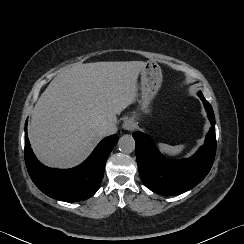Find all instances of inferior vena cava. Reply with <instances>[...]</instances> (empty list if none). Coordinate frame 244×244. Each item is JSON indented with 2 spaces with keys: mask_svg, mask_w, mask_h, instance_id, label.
<instances>
[{
  "mask_svg": "<svg viewBox=\"0 0 244 244\" xmlns=\"http://www.w3.org/2000/svg\"><path fill=\"white\" fill-rule=\"evenodd\" d=\"M116 131H117L116 125L111 121L103 123L100 127V132L102 136L112 135L116 133Z\"/></svg>",
  "mask_w": 244,
  "mask_h": 244,
  "instance_id": "1",
  "label": "inferior vena cava"
}]
</instances>
